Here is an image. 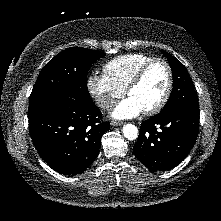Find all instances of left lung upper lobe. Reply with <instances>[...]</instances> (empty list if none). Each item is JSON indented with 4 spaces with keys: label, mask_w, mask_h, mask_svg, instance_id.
<instances>
[{
    "label": "left lung upper lobe",
    "mask_w": 221,
    "mask_h": 221,
    "mask_svg": "<svg viewBox=\"0 0 221 221\" xmlns=\"http://www.w3.org/2000/svg\"><path fill=\"white\" fill-rule=\"evenodd\" d=\"M162 53L169 60L173 76V89L161 112L179 108L199 111L198 100L188 71L178 59L163 50Z\"/></svg>",
    "instance_id": "left-lung-upper-lobe-1"
}]
</instances>
